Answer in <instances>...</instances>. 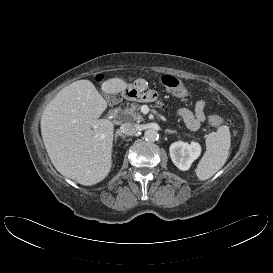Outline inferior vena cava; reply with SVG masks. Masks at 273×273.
<instances>
[{
    "label": "inferior vena cava",
    "mask_w": 273,
    "mask_h": 273,
    "mask_svg": "<svg viewBox=\"0 0 273 273\" xmlns=\"http://www.w3.org/2000/svg\"><path fill=\"white\" fill-rule=\"evenodd\" d=\"M120 132L127 136H132L138 132V127L130 123H125L121 125Z\"/></svg>",
    "instance_id": "inferior-vena-cava-1"
}]
</instances>
